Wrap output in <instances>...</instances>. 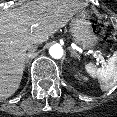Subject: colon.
Instances as JSON below:
<instances>
[{"mask_svg": "<svg viewBox=\"0 0 117 117\" xmlns=\"http://www.w3.org/2000/svg\"><path fill=\"white\" fill-rule=\"evenodd\" d=\"M99 30H100L99 27H95L96 32H99Z\"/></svg>", "mask_w": 117, "mask_h": 117, "instance_id": "obj_1", "label": "colon"}]
</instances>
